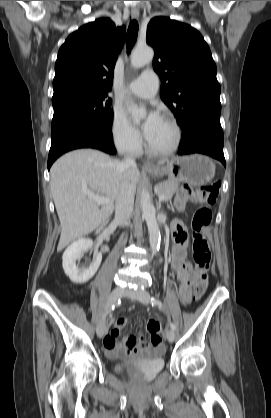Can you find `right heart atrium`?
<instances>
[{
	"instance_id": "right-heart-atrium-1",
	"label": "right heart atrium",
	"mask_w": 271,
	"mask_h": 418,
	"mask_svg": "<svg viewBox=\"0 0 271 418\" xmlns=\"http://www.w3.org/2000/svg\"><path fill=\"white\" fill-rule=\"evenodd\" d=\"M110 132L115 147L124 154H135L142 145L139 131L128 121L124 112L114 109Z\"/></svg>"
}]
</instances>
